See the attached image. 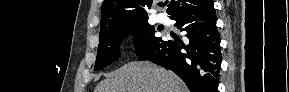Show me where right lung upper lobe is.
Segmentation results:
<instances>
[{
    "label": "right lung upper lobe",
    "instance_id": "obj_1",
    "mask_svg": "<svg viewBox=\"0 0 289 92\" xmlns=\"http://www.w3.org/2000/svg\"><path fill=\"white\" fill-rule=\"evenodd\" d=\"M207 0H172L167 13L170 18L178 13L195 9ZM153 0H104L100 31L113 24L127 21L148 19L147 9L153 5Z\"/></svg>",
    "mask_w": 289,
    "mask_h": 92
}]
</instances>
